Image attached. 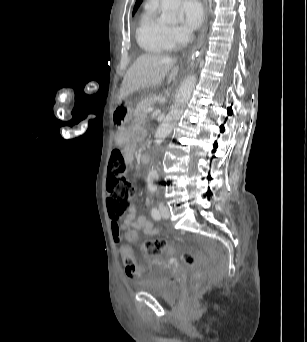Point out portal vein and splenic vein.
Wrapping results in <instances>:
<instances>
[{
	"label": "portal vein and splenic vein",
	"instance_id": "18ae733b",
	"mask_svg": "<svg viewBox=\"0 0 307 342\" xmlns=\"http://www.w3.org/2000/svg\"><path fill=\"white\" fill-rule=\"evenodd\" d=\"M146 112H153V108H148V110H146Z\"/></svg>",
	"mask_w": 307,
	"mask_h": 342
}]
</instances>
